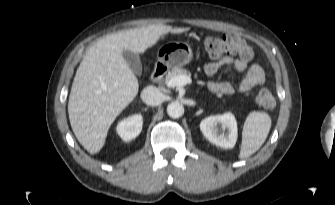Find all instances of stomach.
I'll return each mask as SVG.
<instances>
[{"instance_id":"0dacf381","label":"stomach","mask_w":335,"mask_h":205,"mask_svg":"<svg viewBox=\"0 0 335 205\" xmlns=\"http://www.w3.org/2000/svg\"><path fill=\"white\" fill-rule=\"evenodd\" d=\"M157 57L168 67H182L192 60L193 53L186 43L170 42L159 48Z\"/></svg>"}]
</instances>
